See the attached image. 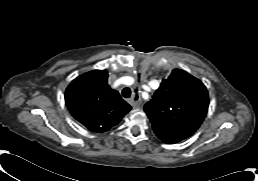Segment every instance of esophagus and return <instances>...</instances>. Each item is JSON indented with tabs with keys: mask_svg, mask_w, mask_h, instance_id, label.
<instances>
[{
	"mask_svg": "<svg viewBox=\"0 0 258 181\" xmlns=\"http://www.w3.org/2000/svg\"><path fill=\"white\" fill-rule=\"evenodd\" d=\"M131 105L134 108H138L141 105V99H140V95L138 93H135L130 101Z\"/></svg>",
	"mask_w": 258,
	"mask_h": 181,
	"instance_id": "1",
	"label": "esophagus"
}]
</instances>
